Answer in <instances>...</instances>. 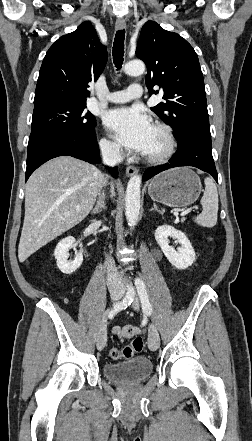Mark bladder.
<instances>
[{
	"label": "bladder",
	"mask_w": 252,
	"mask_h": 441,
	"mask_svg": "<svg viewBox=\"0 0 252 441\" xmlns=\"http://www.w3.org/2000/svg\"><path fill=\"white\" fill-rule=\"evenodd\" d=\"M103 372L104 376L114 383H139L152 373V362L145 356L130 357L119 363H105Z\"/></svg>",
	"instance_id": "bladder-1"
}]
</instances>
